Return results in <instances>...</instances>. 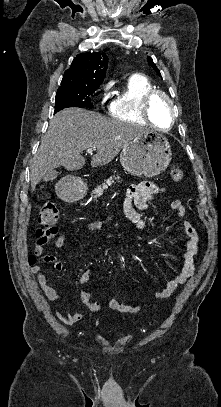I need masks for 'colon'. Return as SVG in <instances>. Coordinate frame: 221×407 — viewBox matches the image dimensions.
I'll return each mask as SVG.
<instances>
[{"mask_svg":"<svg viewBox=\"0 0 221 407\" xmlns=\"http://www.w3.org/2000/svg\"><path fill=\"white\" fill-rule=\"evenodd\" d=\"M169 172L172 180L175 182H180L184 177L183 170L178 166H171ZM38 221L42 228L37 231V236L43 239L51 238L59 229L60 212L58 206L51 201L45 202L39 212ZM83 302L92 311L99 309V303L90 297H85Z\"/></svg>","mask_w":221,"mask_h":407,"instance_id":"5ec220e1","label":"colon"}]
</instances>
